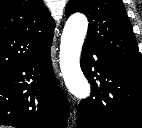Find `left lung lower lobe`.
Here are the masks:
<instances>
[{
  "label": "left lung lower lobe",
  "mask_w": 142,
  "mask_h": 128,
  "mask_svg": "<svg viewBox=\"0 0 142 128\" xmlns=\"http://www.w3.org/2000/svg\"><path fill=\"white\" fill-rule=\"evenodd\" d=\"M81 68L92 93L80 102L78 128H142V68L118 63L88 43Z\"/></svg>",
  "instance_id": "0a47b994"
}]
</instances>
